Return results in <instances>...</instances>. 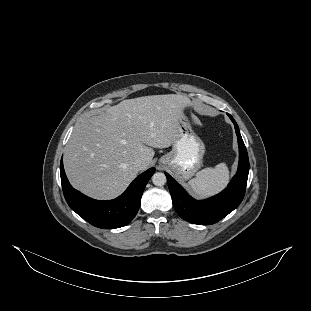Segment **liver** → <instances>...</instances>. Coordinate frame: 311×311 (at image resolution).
I'll return each instance as SVG.
<instances>
[{
	"instance_id": "1",
	"label": "liver",
	"mask_w": 311,
	"mask_h": 311,
	"mask_svg": "<svg viewBox=\"0 0 311 311\" xmlns=\"http://www.w3.org/2000/svg\"><path fill=\"white\" fill-rule=\"evenodd\" d=\"M187 96L163 94L126 99L76 126L64 152L71 185L89 197L109 200L122 194L150 167L153 148H168L179 137ZM141 158V166L134 161Z\"/></svg>"
}]
</instances>
